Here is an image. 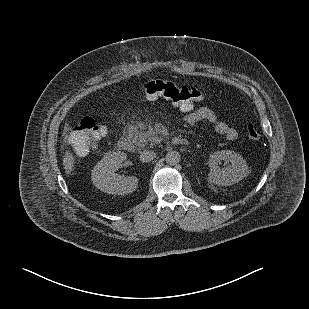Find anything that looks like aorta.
I'll use <instances>...</instances> for the list:
<instances>
[{
	"label": "aorta",
	"instance_id": "aorta-1",
	"mask_svg": "<svg viewBox=\"0 0 309 309\" xmlns=\"http://www.w3.org/2000/svg\"><path fill=\"white\" fill-rule=\"evenodd\" d=\"M168 165H177L180 161V154L177 151H169L165 156Z\"/></svg>",
	"mask_w": 309,
	"mask_h": 309
}]
</instances>
